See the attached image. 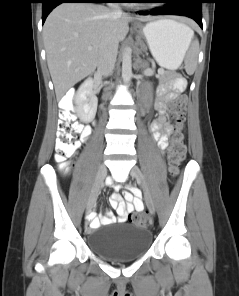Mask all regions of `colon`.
Returning a JSON list of instances; mask_svg holds the SVG:
<instances>
[{"label": "colon", "instance_id": "1", "mask_svg": "<svg viewBox=\"0 0 239 296\" xmlns=\"http://www.w3.org/2000/svg\"><path fill=\"white\" fill-rule=\"evenodd\" d=\"M186 114V99L179 96L168 106L167 115L174 125V133L169 148V164L172 175L178 173L179 167L185 157L186 148L183 141L182 126ZM81 125L74 120L70 104H63L59 112L58 139L56 141V159L62 169L66 168V160L78 146V136ZM133 223L146 226L149 223V215L142 211L131 217Z\"/></svg>", "mask_w": 239, "mask_h": 296}]
</instances>
